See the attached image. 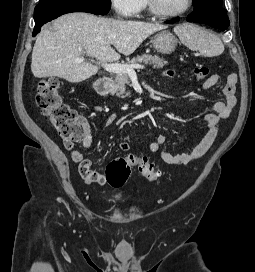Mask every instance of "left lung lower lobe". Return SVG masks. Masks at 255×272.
<instances>
[{
	"mask_svg": "<svg viewBox=\"0 0 255 272\" xmlns=\"http://www.w3.org/2000/svg\"><path fill=\"white\" fill-rule=\"evenodd\" d=\"M179 21L170 20L166 23H174ZM188 22L203 23L213 27H216L222 31L226 30L230 24L226 10L219 4H207L198 9L187 17Z\"/></svg>",
	"mask_w": 255,
	"mask_h": 272,
	"instance_id": "left-lung-lower-lobe-1",
	"label": "left lung lower lobe"
}]
</instances>
